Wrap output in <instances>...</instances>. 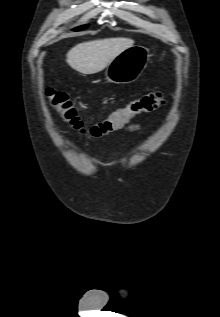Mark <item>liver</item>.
I'll return each mask as SVG.
<instances>
[{
    "mask_svg": "<svg viewBox=\"0 0 220 317\" xmlns=\"http://www.w3.org/2000/svg\"><path fill=\"white\" fill-rule=\"evenodd\" d=\"M134 45L130 38L118 37L77 44L66 55V62L82 74L102 71L121 52Z\"/></svg>",
    "mask_w": 220,
    "mask_h": 317,
    "instance_id": "liver-1",
    "label": "liver"
}]
</instances>
